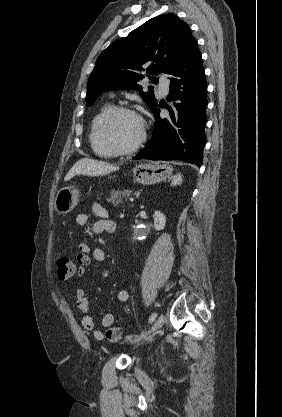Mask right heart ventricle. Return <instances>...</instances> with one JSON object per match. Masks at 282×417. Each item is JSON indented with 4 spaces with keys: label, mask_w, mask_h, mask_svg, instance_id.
Wrapping results in <instances>:
<instances>
[{
    "label": "right heart ventricle",
    "mask_w": 282,
    "mask_h": 417,
    "mask_svg": "<svg viewBox=\"0 0 282 417\" xmlns=\"http://www.w3.org/2000/svg\"><path fill=\"white\" fill-rule=\"evenodd\" d=\"M113 109L112 105L107 104L105 105L100 112L96 115V117L93 120L92 123V129L90 134V140L93 146V149L96 153H98L101 156H109L112 153L109 152L101 141V134H100V126L105 118V116Z\"/></svg>",
    "instance_id": "1"
}]
</instances>
